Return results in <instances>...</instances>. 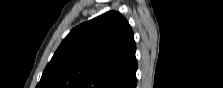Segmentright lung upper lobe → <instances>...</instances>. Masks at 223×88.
Listing matches in <instances>:
<instances>
[{
    "label": "right lung upper lobe",
    "instance_id": "1",
    "mask_svg": "<svg viewBox=\"0 0 223 88\" xmlns=\"http://www.w3.org/2000/svg\"><path fill=\"white\" fill-rule=\"evenodd\" d=\"M135 51L127 20L107 12L71 30L36 88H132Z\"/></svg>",
    "mask_w": 223,
    "mask_h": 88
}]
</instances>
